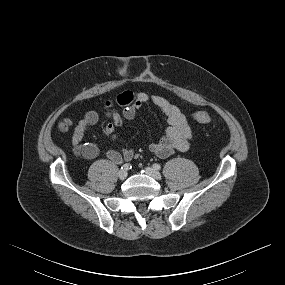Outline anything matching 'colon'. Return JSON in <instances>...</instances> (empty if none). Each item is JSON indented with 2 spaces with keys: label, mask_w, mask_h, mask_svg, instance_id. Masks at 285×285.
Segmentation results:
<instances>
[{
  "label": "colon",
  "mask_w": 285,
  "mask_h": 285,
  "mask_svg": "<svg viewBox=\"0 0 285 285\" xmlns=\"http://www.w3.org/2000/svg\"><path fill=\"white\" fill-rule=\"evenodd\" d=\"M191 119L198 124H208L211 122L210 114L205 110H195L190 113ZM69 127L67 121L62 122L60 128L62 131H66Z\"/></svg>",
  "instance_id": "1"
}]
</instances>
